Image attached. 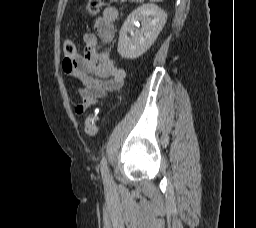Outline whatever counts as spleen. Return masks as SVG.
I'll return each mask as SVG.
<instances>
[{
  "mask_svg": "<svg viewBox=\"0 0 256 228\" xmlns=\"http://www.w3.org/2000/svg\"><path fill=\"white\" fill-rule=\"evenodd\" d=\"M151 2H162L163 0H150Z\"/></svg>",
  "mask_w": 256,
  "mask_h": 228,
  "instance_id": "1",
  "label": "spleen"
}]
</instances>
